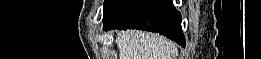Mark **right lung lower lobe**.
<instances>
[{"instance_id":"98d812e1","label":"right lung lower lobe","mask_w":261,"mask_h":59,"mask_svg":"<svg viewBox=\"0 0 261 59\" xmlns=\"http://www.w3.org/2000/svg\"><path fill=\"white\" fill-rule=\"evenodd\" d=\"M105 31L139 29L158 32L185 46L181 14L171 0H122L103 16Z\"/></svg>"}]
</instances>
